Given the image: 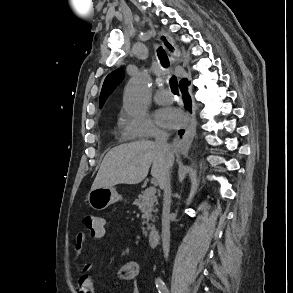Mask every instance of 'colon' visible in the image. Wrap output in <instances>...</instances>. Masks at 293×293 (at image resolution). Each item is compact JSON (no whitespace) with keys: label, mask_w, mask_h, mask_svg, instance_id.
Instances as JSON below:
<instances>
[{"label":"colon","mask_w":293,"mask_h":293,"mask_svg":"<svg viewBox=\"0 0 293 293\" xmlns=\"http://www.w3.org/2000/svg\"><path fill=\"white\" fill-rule=\"evenodd\" d=\"M83 226L91 233H99L104 225V219L94 213H86L83 216Z\"/></svg>","instance_id":"1"}]
</instances>
